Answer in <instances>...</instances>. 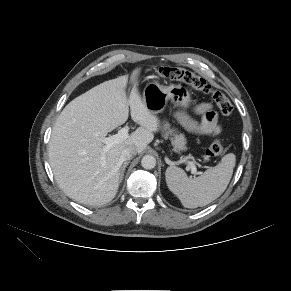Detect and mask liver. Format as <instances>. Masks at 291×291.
Listing matches in <instances>:
<instances>
[{"instance_id": "obj_1", "label": "liver", "mask_w": 291, "mask_h": 291, "mask_svg": "<svg viewBox=\"0 0 291 291\" xmlns=\"http://www.w3.org/2000/svg\"><path fill=\"white\" fill-rule=\"evenodd\" d=\"M140 68L126 96L128 76L105 81L68 103L58 116L49 142V162L63 192L74 201L95 206L110 202L120 182L123 149L141 153L154 139L159 120L138 92ZM140 125L127 139L104 151L102 139L124 124L129 116Z\"/></svg>"}]
</instances>
